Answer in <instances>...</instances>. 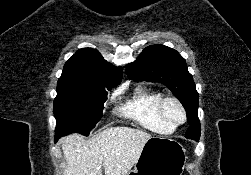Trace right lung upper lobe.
<instances>
[{
  "instance_id": "cb5924a9",
  "label": "right lung upper lobe",
  "mask_w": 251,
  "mask_h": 175,
  "mask_svg": "<svg viewBox=\"0 0 251 175\" xmlns=\"http://www.w3.org/2000/svg\"><path fill=\"white\" fill-rule=\"evenodd\" d=\"M122 68H114L92 48L78 50L64 65L59 83L113 88L122 80Z\"/></svg>"
}]
</instances>
